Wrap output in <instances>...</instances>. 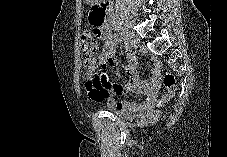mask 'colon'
Masks as SVG:
<instances>
[{"label": "colon", "instance_id": "obj_1", "mask_svg": "<svg viewBox=\"0 0 227 157\" xmlns=\"http://www.w3.org/2000/svg\"><path fill=\"white\" fill-rule=\"evenodd\" d=\"M90 16H99L98 9L91 10ZM97 27V25H95ZM98 33L84 31L81 35V49L83 55V66L86 75V84L93 85L100 80L99 76V61L96 57L98 45ZM163 84L167 89V94L159 98L156 102L158 107L163 106L174 94L176 84L175 77L167 72L163 77Z\"/></svg>", "mask_w": 227, "mask_h": 157}]
</instances>
